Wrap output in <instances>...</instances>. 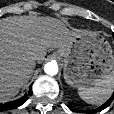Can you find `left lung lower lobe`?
<instances>
[{
    "label": "left lung lower lobe",
    "mask_w": 114,
    "mask_h": 114,
    "mask_svg": "<svg viewBox=\"0 0 114 114\" xmlns=\"http://www.w3.org/2000/svg\"><path fill=\"white\" fill-rule=\"evenodd\" d=\"M113 37H114V33H113ZM113 99H114V93L111 96V98L106 103H104L103 105H101L99 108L94 109V110H90V111H87V112L88 113H96L98 111H101V110L105 109L106 107H108L111 104V102H112Z\"/></svg>",
    "instance_id": "0a47b994"
}]
</instances>
